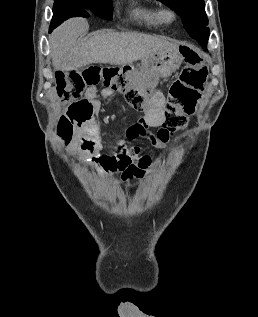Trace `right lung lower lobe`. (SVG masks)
I'll return each instance as SVG.
<instances>
[{"label": "right lung lower lobe", "instance_id": "right-lung-lower-lobe-1", "mask_svg": "<svg viewBox=\"0 0 258 317\" xmlns=\"http://www.w3.org/2000/svg\"><path fill=\"white\" fill-rule=\"evenodd\" d=\"M91 13L96 15L97 11L94 8H87L84 5L77 2H61L58 4H54L53 6V18L51 21V25L49 28V32H51L54 28L60 25L64 20L70 17H89Z\"/></svg>", "mask_w": 258, "mask_h": 317}]
</instances>
